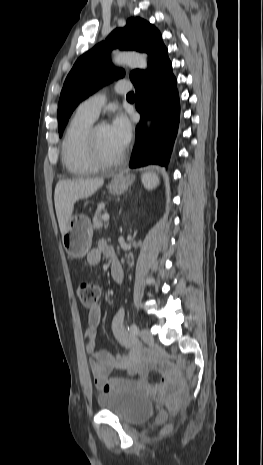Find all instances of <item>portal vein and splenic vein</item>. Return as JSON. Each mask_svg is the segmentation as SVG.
Instances as JSON below:
<instances>
[{"label": "portal vein and splenic vein", "mask_w": 263, "mask_h": 465, "mask_svg": "<svg viewBox=\"0 0 263 465\" xmlns=\"http://www.w3.org/2000/svg\"><path fill=\"white\" fill-rule=\"evenodd\" d=\"M102 219H103L104 221H108V220H109V214H104L103 217H102Z\"/></svg>", "instance_id": "obj_1"}]
</instances>
